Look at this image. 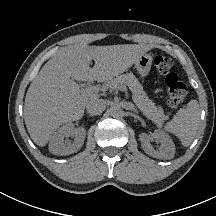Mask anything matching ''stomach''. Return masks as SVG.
Here are the masks:
<instances>
[{
	"instance_id": "0dacf381",
	"label": "stomach",
	"mask_w": 216,
	"mask_h": 216,
	"mask_svg": "<svg viewBox=\"0 0 216 216\" xmlns=\"http://www.w3.org/2000/svg\"><path fill=\"white\" fill-rule=\"evenodd\" d=\"M152 65V56L150 54H143L140 58L135 62V68L142 78L146 77L151 69Z\"/></svg>"
}]
</instances>
